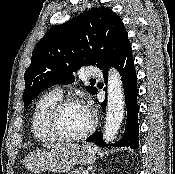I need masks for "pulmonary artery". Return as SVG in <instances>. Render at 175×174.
<instances>
[{"mask_svg": "<svg viewBox=\"0 0 175 174\" xmlns=\"http://www.w3.org/2000/svg\"><path fill=\"white\" fill-rule=\"evenodd\" d=\"M87 74L89 76H101L102 75L100 69L95 67V66H89L88 69H87ZM54 92L61 95L62 94L61 87L56 86L55 89H54Z\"/></svg>", "mask_w": 175, "mask_h": 174, "instance_id": "e3ab8cb5", "label": "pulmonary artery"}]
</instances>
